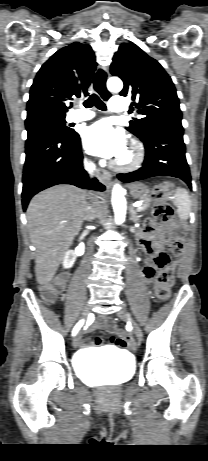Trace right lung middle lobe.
Wrapping results in <instances>:
<instances>
[{
    "label": "right lung middle lobe",
    "instance_id": "1",
    "mask_svg": "<svg viewBox=\"0 0 208 461\" xmlns=\"http://www.w3.org/2000/svg\"><path fill=\"white\" fill-rule=\"evenodd\" d=\"M25 126L27 130V140L48 131H57L62 134H69L72 132L66 125L65 117L46 115L30 116L26 118Z\"/></svg>",
    "mask_w": 208,
    "mask_h": 461
}]
</instances>
